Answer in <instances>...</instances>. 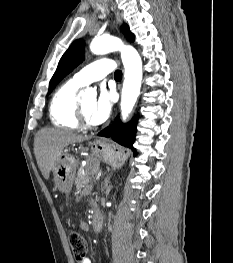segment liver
I'll return each instance as SVG.
<instances>
[{
    "mask_svg": "<svg viewBox=\"0 0 233 263\" xmlns=\"http://www.w3.org/2000/svg\"><path fill=\"white\" fill-rule=\"evenodd\" d=\"M89 139L88 136L65 129L43 128L39 130L34 139V153L43 177L46 180L49 178L50 171L55 167L66 146Z\"/></svg>",
    "mask_w": 233,
    "mask_h": 263,
    "instance_id": "1",
    "label": "liver"
}]
</instances>
